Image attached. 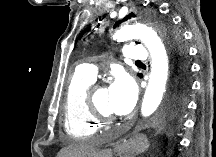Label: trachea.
Returning <instances> with one entry per match:
<instances>
[{
    "mask_svg": "<svg viewBox=\"0 0 216 157\" xmlns=\"http://www.w3.org/2000/svg\"><path fill=\"white\" fill-rule=\"evenodd\" d=\"M136 63H142L141 61H137Z\"/></svg>",
    "mask_w": 216,
    "mask_h": 157,
    "instance_id": "3493384b",
    "label": "trachea"
}]
</instances>
